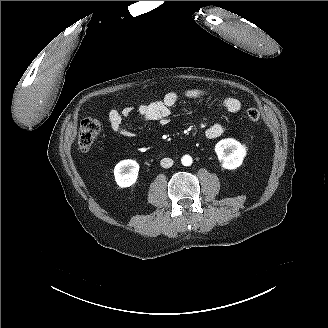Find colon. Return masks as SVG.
<instances>
[{
  "label": "colon",
  "mask_w": 328,
  "mask_h": 328,
  "mask_svg": "<svg viewBox=\"0 0 328 328\" xmlns=\"http://www.w3.org/2000/svg\"><path fill=\"white\" fill-rule=\"evenodd\" d=\"M247 117L251 121H258L260 119V112L256 108H249L247 110ZM100 131V123L93 118H86L80 124L78 134V146L82 151H88L93 145Z\"/></svg>",
  "instance_id": "5ec220e1"
}]
</instances>
